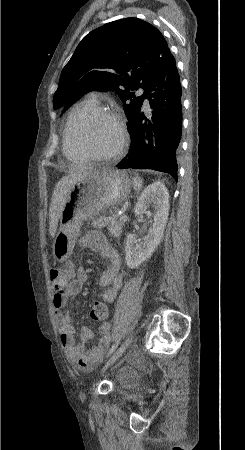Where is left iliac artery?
Returning a JSON list of instances; mask_svg holds the SVG:
<instances>
[{"instance_id": "obj_1", "label": "left iliac artery", "mask_w": 245, "mask_h": 450, "mask_svg": "<svg viewBox=\"0 0 245 450\" xmlns=\"http://www.w3.org/2000/svg\"><path fill=\"white\" fill-rule=\"evenodd\" d=\"M119 343H120V340L116 341V343L110 348V350L108 352V356L111 355L115 351V349L118 347Z\"/></svg>"}]
</instances>
